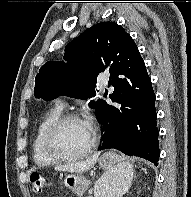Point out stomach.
Masks as SVG:
<instances>
[{"instance_id": "1", "label": "stomach", "mask_w": 191, "mask_h": 197, "mask_svg": "<svg viewBox=\"0 0 191 197\" xmlns=\"http://www.w3.org/2000/svg\"><path fill=\"white\" fill-rule=\"evenodd\" d=\"M98 163L102 169L106 170L107 173L110 174V179L107 185V194L108 197H111L114 185V180L111 178V172L114 170L116 165L122 163L121 158L113 152H107L98 159ZM63 182L64 185L78 197H81L84 194L89 185L88 180L81 173L67 174L65 175Z\"/></svg>"}]
</instances>
